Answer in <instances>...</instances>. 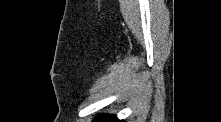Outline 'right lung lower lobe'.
Returning <instances> with one entry per match:
<instances>
[{
  "label": "right lung lower lobe",
  "mask_w": 221,
  "mask_h": 122,
  "mask_svg": "<svg viewBox=\"0 0 221 122\" xmlns=\"http://www.w3.org/2000/svg\"><path fill=\"white\" fill-rule=\"evenodd\" d=\"M94 121H97V122H121L114 115H106V114H101L100 116H97L94 119Z\"/></svg>",
  "instance_id": "obj_1"
}]
</instances>
